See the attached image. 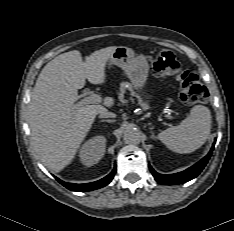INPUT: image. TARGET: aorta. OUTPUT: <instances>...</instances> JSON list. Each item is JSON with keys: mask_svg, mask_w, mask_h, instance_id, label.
I'll use <instances>...</instances> for the list:
<instances>
[{"mask_svg": "<svg viewBox=\"0 0 234 231\" xmlns=\"http://www.w3.org/2000/svg\"><path fill=\"white\" fill-rule=\"evenodd\" d=\"M123 140L128 145H137L141 141V132L137 128H127L124 132Z\"/></svg>", "mask_w": 234, "mask_h": 231, "instance_id": "aorta-1", "label": "aorta"}]
</instances>
